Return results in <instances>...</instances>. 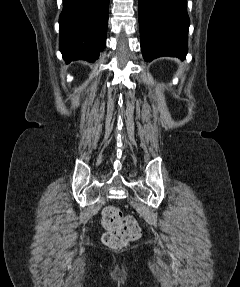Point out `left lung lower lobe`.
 Returning a JSON list of instances; mask_svg holds the SVG:
<instances>
[{
	"mask_svg": "<svg viewBox=\"0 0 240 287\" xmlns=\"http://www.w3.org/2000/svg\"><path fill=\"white\" fill-rule=\"evenodd\" d=\"M187 0H138L141 50L145 61L184 59L188 51Z\"/></svg>",
	"mask_w": 240,
	"mask_h": 287,
	"instance_id": "left-lung-lower-lobe-1",
	"label": "left lung lower lobe"
}]
</instances>
